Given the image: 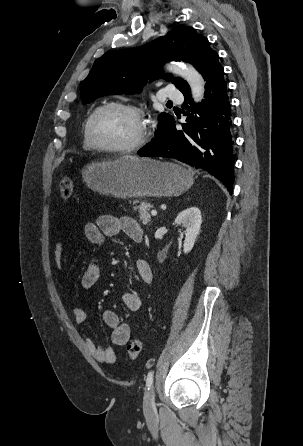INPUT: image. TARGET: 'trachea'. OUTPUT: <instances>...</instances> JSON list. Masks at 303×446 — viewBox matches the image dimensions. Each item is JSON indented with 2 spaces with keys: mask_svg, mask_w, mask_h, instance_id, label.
Here are the masks:
<instances>
[{
  "mask_svg": "<svg viewBox=\"0 0 303 446\" xmlns=\"http://www.w3.org/2000/svg\"><path fill=\"white\" fill-rule=\"evenodd\" d=\"M168 104H172V102H171V101H169V102H168Z\"/></svg>",
  "mask_w": 303,
  "mask_h": 446,
  "instance_id": "trachea-1",
  "label": "trachea"
}]
</instances>
